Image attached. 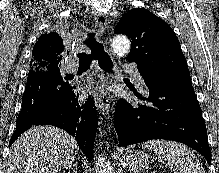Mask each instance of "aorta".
<instances>
[{
  "mask_svg": "<svg viewBox=\"0 0 219 173\" xmlns=\"http://www.w3.org/2000/svg\"><path fill=\"white\" fill-rule=\"evenodd\" d=\"M111 49L117 56H125L130 52V41L125 35H116L111 42ZM96 173H115L110 161L104 157H97L95 160Z\"/></svg>",
  "mask_w": 219,
  "mask_h": 173,
  "instance_id": "aorta-1",
  "label": "aorta"
}]
</instances>
